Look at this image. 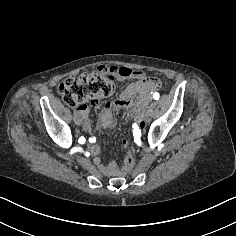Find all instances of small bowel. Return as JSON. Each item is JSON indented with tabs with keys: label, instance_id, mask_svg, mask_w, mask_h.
I'll return each mask as SVG.
<instances>
[{
	"label": "small bowel",
	"instance_id": "small-bowel-1",
	"mask_svg": "<svg viewBox=\"0 0 236 236\" xmlns=\"http://www.w3.org/2000/svg\"><path fill=\"white\" fill-rule=\"evenodd\" d=\"M134 76L131 77L135 81L128 84L121 92L118 99L113 102H107L98 119L97 126L99 129H107L113 127L115 123L114 113L115 109L128 108L131 109V114L139 122H142L143 111L148 104L151 94L154 90L160 87V82L156 78L147 77L141 71H133ZM127 77L120 76V79ZM137 97L136 99H134ZM98 100H91L92 105H96ZM89 106L85 103L79 105L75 111V120L84 130L91 131V123L89 121ZM89 151L93 156H97L100 152L99 145L96 144L94 137L90 138ZM96 166L108 176H118L124 171V167H118L115 163L111 162L105 164L100 158L94 160Z\"/></svg>",
	"mask_w": 236,
	"mask_h": 236
}]
</instances>
